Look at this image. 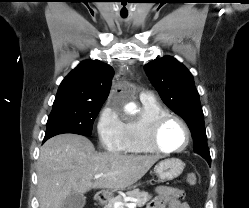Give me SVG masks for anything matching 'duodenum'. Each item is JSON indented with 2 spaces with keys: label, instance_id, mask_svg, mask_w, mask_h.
I'll use <instances>...</instances> for the list:
<instances>
[{
  "label": "duodenum",
  "instance_id": "1",
  "mask_svg": "<svg viewBox=\"0 0 249 208\" xmlns=\"http://www.w3.org/2000/svg\"><path fill=\"white\" fill-rule=\"evenodd\" d=\"M105 199L106 195L104 192H99L94 196V200L97 204H101L102 202H104Z\"/></svg>",
  "mask_w": 249,
  "mask_h": 208
}]
</instances>
